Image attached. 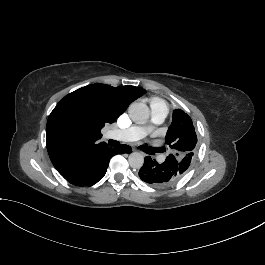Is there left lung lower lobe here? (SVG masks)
<instances>
[{
  "label": "left lung lower lobe",
  "instance_id": "1",
  "mask_svg": "<svg viewBox=\"0 0 265 265\" xmlns=\"http://www.w3.org/2000/svg\"><path fill=\"white\" fill-rule=\"evenodd\" d=\"M182 171L180 163L173 157L168 156L163 163H158L147 156L139 170V177L153 186H168L182 177Z\"/></svg>",
  "mask_w": 265,
  "mask_h": 265
}]
</instances>
